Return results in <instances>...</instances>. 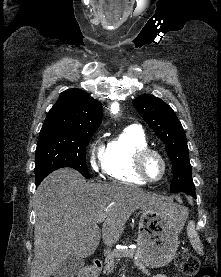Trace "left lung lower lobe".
<instances>
[{
    "label": "left lung lower lobe",
    "mask_w": 221,
    "mask_h": 277,
    "mask_svg": "<svg viewBox=\"0 0 221 277\" xmlns=\"http://www.w3.org/2000/svg\"><path fill=\"white\" fill-rule=\"evenodd\" d=\"M187 194H190L191 196H193L194 198H196L195 189L189 191Z\"/></svg>",
    "instance_id": "obj_1"
}]
</instances>
